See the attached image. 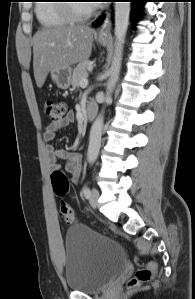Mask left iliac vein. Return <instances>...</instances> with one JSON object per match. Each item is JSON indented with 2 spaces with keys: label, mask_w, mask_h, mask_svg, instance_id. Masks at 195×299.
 I'll return each mask as SVG.
<instances>
[{
  "label": "left iliac vein",
  "mask_w": 195,
  "mask_h": 299,
  "mask_svg": "<svg viewBox=\"0 0 195 299\" xmlns=\"http://www.w3.org/2000/svg\"><path fill=\"white\" fill-rule=\"evenodd\" d=\"M98 199H99V191L96 188H93L89 199L92 208H96L98 206Z\"/></svg>",
  "instance_id": "obj_1"
}]
</instances>
